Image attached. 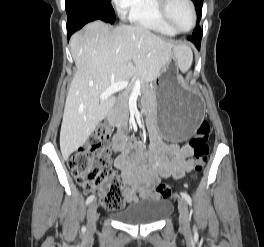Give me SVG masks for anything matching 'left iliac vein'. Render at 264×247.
Returning a JSON list of instances; mask_svg holds the SVG:
<instances>
[{"instance_id": "4c4485c4", "label": "left iliac vein", "mask_w": 264, "mask_h": 247, "mask_svg": "<svg viewBox=\"0 0 264 247\" xmlns=\"http://www.w3.org/2000/svg\"><path fill=\"white\" fill-rule=\"evenodd\" d=\"M178 210H179V222L183 230L189 228V211L186 201L183 198L178 200Z\"/></svg>"}]
</instances>
